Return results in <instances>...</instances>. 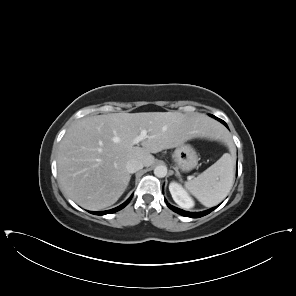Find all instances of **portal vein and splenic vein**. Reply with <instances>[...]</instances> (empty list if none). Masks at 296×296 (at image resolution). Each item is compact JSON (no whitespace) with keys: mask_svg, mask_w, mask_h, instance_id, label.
<instances>
[{"mask_svg":"<svg viewBox=\"0 0 296 296\" xmlns=\"http://www.w3.org/2000/svg\"><path fill=\"white\" fill-rule=\"evenodd\" d=\"M146 138H148L147 131L145 129H143V130H141L140 134L132 140L131 144L137 145L139 142H141L142 140H144Z\"/></svg>","mask_w":296,"mask_h":296,"instance_id":"18ae733b","label":"portal vein and splenic vein"}]
</instances>
